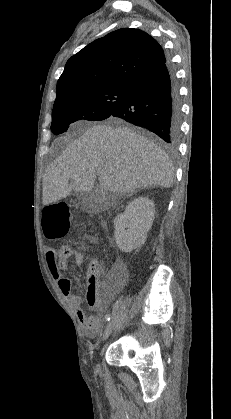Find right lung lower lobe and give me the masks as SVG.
<instances>
[{"mask_svg": "<svg viewBox=\"0 0 231 419\" xmlns=\"http://www.w3.org/2000/svg\"><path fill=\"white\" fill-rule=\"evenodd\" d=\"M180 116L178 87L166 61L134 82L125 100L109 117L145 127L168 146H174L179 136Z\"/></svg>", "mask_w": 231, "mask_h": 419, "instance_id": "98d812e1", "label": "right lung lower lobe"}]
</instances>
